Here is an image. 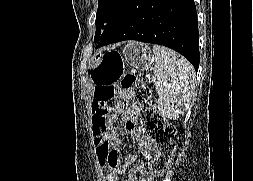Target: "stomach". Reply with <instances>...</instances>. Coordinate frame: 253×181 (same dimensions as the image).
I'll return each mask as SVG.
<instances>
[{"label":"stomach","mask_w":253,"mask_h":181,"mask_svg":"<svg viewBox=\"0 0 253 181\" xmlns=\"http://www.w3.org/2000/svg\"><path fill=\"white\" fill-rule=\"evenodd\" d=\"M123 56L125 62L137 70H147L153 64L151 51L141 43H128L123 49Z\"/></svg>","instance_id":"stomach-1"}]
</instances>
